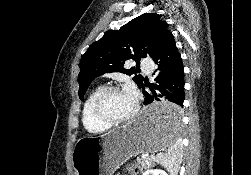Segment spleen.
I'll return each mask as SVG.
<instances>
[{"instance_id": "3e777b00", "label": "spleen", "mask_w": 251, "mask_h": 175, "mask_svg": "<svg viewBox=\"0 0 251 175\" xmlns=\"http://www.w3.org/2000/svg\"><path fill=\"white\" fill-rule=\"evenodd\" d=\"M181 119V109L172 107L170 113L163 119V133L167 137L168 151L166 153H158L156 157L157 163L164 165L170 175H178L182 161V143L179 141V123Z\"/></svg>"}]
</instances>
